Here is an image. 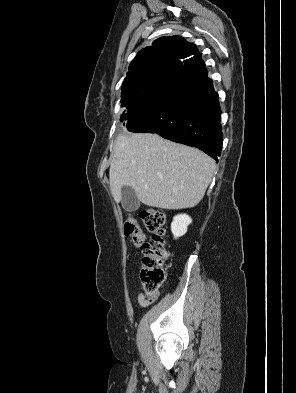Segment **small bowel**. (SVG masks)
<instances>
[{
  "mask_svg": "<svg viewBox=\"0 0 296 393\" xmlns=\"http://www.w3.org/2000/svg\"><path fill=\"white\" fill-rule=\"evenodd\" d=\"M158 296H159L158 293L155 296H146L143 292H140L137 295V301L141 307H147L150 304H152L153 302H155L157 300Z\"/></svg>",
  "mask_w": 296,
  "mask_h": 393,
  "instance_id": "obj_1",
  "label": "small bowel"
}]
</instances>
